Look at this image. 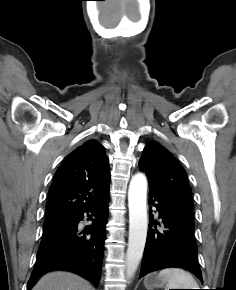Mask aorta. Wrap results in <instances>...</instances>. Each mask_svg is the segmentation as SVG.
<instances>
[{"label":"aorta","instance_id":"obj_1","mask_svg":"<svg viewBox=\"0 0 236 290\" xmlns=\"http://www.w3.org/2000/svg\"><path fill=\"white\" fill-rule=\"evenodd\" d=\"M147 179L136 174L130 181L128 190L129 238L126 252V276L132 278L143 256L148 230Z\"/></svg>","mask_w":236,"mask_h":290}]
</instances>
